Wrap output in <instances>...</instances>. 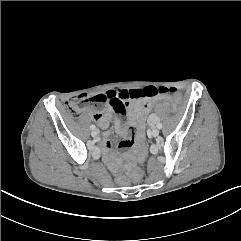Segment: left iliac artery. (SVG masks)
<instances>
[{
	"label": "left iliac artery",
	"instance_id": "obj_1",
	"mask_svg": "<svg viewBox=\"0 0 241 241\" xmlns=\"http://www.w3.org/2000/svg\"><path fill=\"white\" fill-rule=\"evenodd\" d=\"M157 128L161 129L162 128V124L161 123H157Z\"/></svg>",
	"mask_w": 241,
	"mask_h": 241
}]
</instances>
